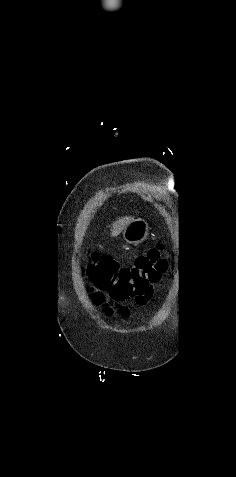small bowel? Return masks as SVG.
Masks as SVG:
<instances>
[{
	"label": "small bowel",
	"mask_w": 236,
	"mask_h": 477,
	"mask_svg": "<svg viewBox=\"0 0 236 477\" xmlns=\"http://www.w3.org/2000/svg\"><path fill=\"white\" fill-rule=\"evenodd\" d=\"M150 296H151V295H148V296L146 297L145 302L150 298ZM145 302H144V303H145ZM106 311H107L108 313H112V312H113V311H112V308H110V307H106Z\"/></svg>",
	"instance_id": "obj_1"
}]
</instances>
